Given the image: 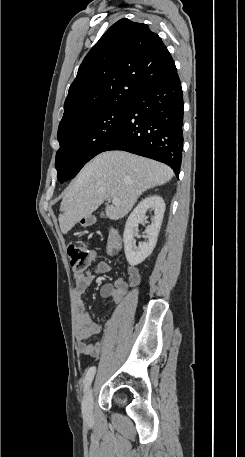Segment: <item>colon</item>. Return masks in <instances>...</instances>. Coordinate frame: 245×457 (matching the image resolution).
Here are the masks:
<instances>
[{"mask_svg":"<svg viewBox=\"0 0 245 457\" xmlns=\"http://www.w3.org/2000/svg\"><path fill=\"white\" fill-rule=\"evenodd\" d=\"M67 254L72 268L76 271L84 270L91 259V252L85 244H70L67 248Z\"/></svg>","mask_w":245,"mask_h":457,"instance_id":"colon-1","label":"colon"}]
</instances>
